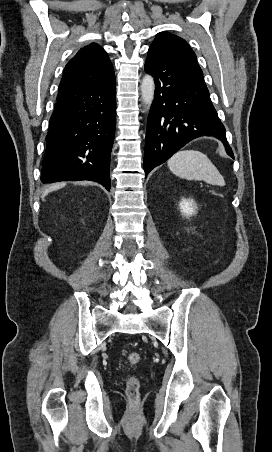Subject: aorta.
Here are the masks:
<instances>
[{
	"mask_svg": "<svg viewBox=\"0 0 272 452\" xmlns=\"http://www.w3.org/2000/svg\"><path fill=\"white\" fill-rule=\"evenodd\" d=\"M141 98L146 110L150 109V106L154 99L155 83L151 75L146 74L140 85Z\"/></svg>",
	"mask_w": 272,
	"mask_h": 452,
	"instance_id": "1",
	"label": "aorta"
}]
</instances>
